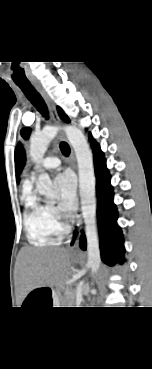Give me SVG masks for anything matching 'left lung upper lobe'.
I'll return each mask as SVG.
<instances>
[{"mask_svg": "<svg viewBox=\"0 0 152 369\" xmlns=\"http://www.w3.org/2000/svg\"><path fill=\"white\" fill-rule=\"evenodd\" d=\"M58 113H59V116L61 117L62 120L66 121V122H70V119L68 118V116H66L64 114V112L62 111V109L59 108V107H58ZM29 134H30V129H22L21 130V135H22L23 138L27 139L29 137ZM15 159H16V168L21 170L23 165H24V162H25V154H24V150H23V148L20 144L16 148Z\"/></svg>", "mask_w": 152, "mask_h": 369, "instance_id": "1", "label": "left lung upper lobe"}]
</instances>
